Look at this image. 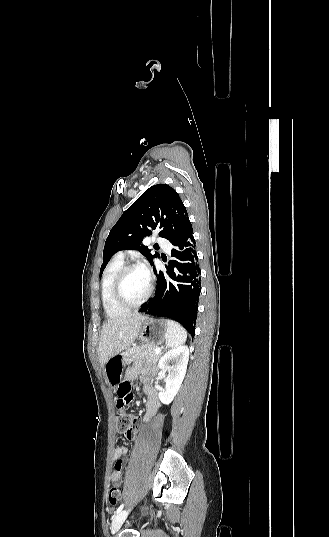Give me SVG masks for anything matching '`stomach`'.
I'll list each match as a JSON object with an SVG mask.
<instances>
[{
    "label": "stomach",
    "mask_w": 329,
    "mask_h": 537,
    "mask_svg": "<svg viewBox=\"0 0 329 537\" xmlns=\"http://www.w3.org/2000/svg\"><path fill=\"white\" fill-rule=\"evenodd\" d=\"M138 337L141 341L157 346L164 343L168 335V321L144 317ZM106 379L111 386H115L122 378L123 359L121 354L111 357L104 365Z\"/></svg>",
    "instance_id": "1"
}]
</instances>
